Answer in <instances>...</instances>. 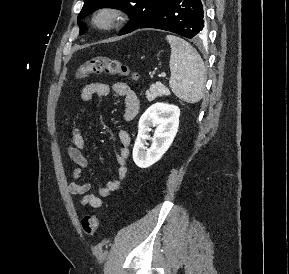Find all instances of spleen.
Masks as SVG:
<instances>
[{"mask_svg":"<svg viewBox=\"0 0 289 274\" xmlns=\"http://www.w3.org/2000/svg\"><path fill=\"white\" fill-rule=\"evenodd\" d=\"M171 46L169 86L172 92L188 103L203 97L206 81L204 62L198 52L184 39L167 35Z\"/></svg>","mask_w":289,"mask_h":274,"instance_id":"spleen-1","label":"spleen"}]
</instances>
